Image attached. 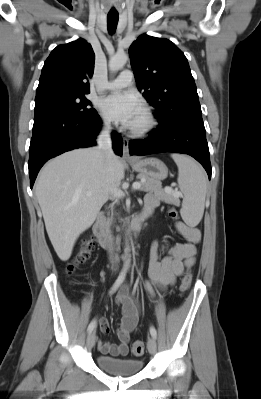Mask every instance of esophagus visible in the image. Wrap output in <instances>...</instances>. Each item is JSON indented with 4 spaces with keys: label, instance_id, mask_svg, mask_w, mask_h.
Returning <instances> with one entry per match:
<instances>
[{
    "label": "esophagus",
    "instance_id": "obj_1",
    "mask_svg": "<svg viewBox=\"0 0 261 399\" xmlns=\"http://www.w3.org/2000/svg\"><path fill=\"white\" fill-rule=\"evenodd\" d=\"M123 158L131 159V155L129 153V141L127 138H123Z\"/></svg>",
    "mask_w": 261,
    "mask_h": 399
}]
</instances>
